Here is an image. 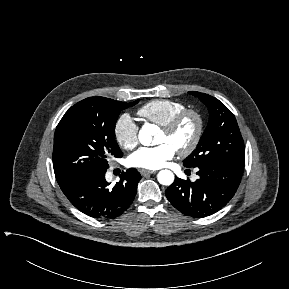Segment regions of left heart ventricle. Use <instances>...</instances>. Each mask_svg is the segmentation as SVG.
I'll return each instance as SVG.
<instances>
[{
  "label": "left heart ventricle",
  "mask_w": 289,
  "mask_h": 289,
  "mask_svg": "<svg viewBox=\"0 0 289 289\" xmlns=\"http://www.w3.org/2000/svg\"><path fill=\"white\" fill-rule=\"evenodd\" d=\"M196 129V122L193 118H187L179 128L171 135L161 131L158 136L157 143H168L177 151L187 146L192 140Z\"/></svg>",
  "instance_id": "obj_1"
}]
</instances>
